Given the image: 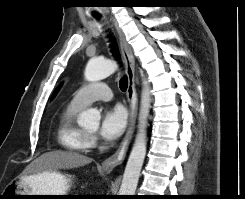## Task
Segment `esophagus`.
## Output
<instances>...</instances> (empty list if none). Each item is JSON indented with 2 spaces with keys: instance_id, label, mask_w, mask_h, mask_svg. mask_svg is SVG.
Instances as JSON below:
<instances>
[{
  "instance_id": "34e87169",
  "label": "esophagus",
  "mask_w": 245,
  "mask_h": 199,
  "mask_svg": "<svg viewBox=\"0 0 245 199\" xmlns=\"http://www.w3.org/2000/svg\"><path fill=\"white\" fill-rule=\"evenodd\" d=\"M111 21L117 32V36L119 39V45H120L121 53H122L124 64H125V71L128 77V87H127L126 95H127V101L129 104V121H128V127H127L125 137L123 141L121 142L119 148L113 155L105 159L101 165V168L106 172L112 171L115 167H117L123 162L128 146H129V143L133 136L135 123H136V117H137V110H138V100H137V94H136V89H135L134 56H133L131 47L126 41L123 31L118 26L115 20L111 18Z\"/></svg>"
}]
</instances>
